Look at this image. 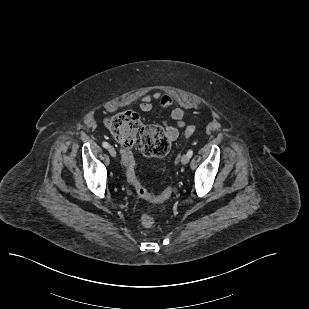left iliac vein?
<instances>
[{
    "mask_svg": "<svg viewBox=\"0 0 309 309\" xmlns=\"http://www.w3.org/2000/svg\"><path fill=\"white\" fill-rule=\"evenodd\" d=\"M190 160V157L187 155V154H184L182 157H181V163L183 165H186Z\"/></svg>",
    "mask_w": 309,
    "mask_h": 309,
    "instance_id": "left-iliac-vein-1",
    "label": "left iliac vein"
}]
</instances>
